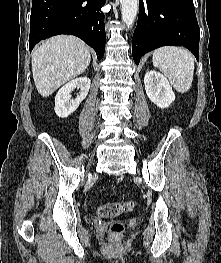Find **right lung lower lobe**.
Segmentation results:
<instances>
[{"label": "right lung lower lobe", "instance_id": "98d812e1", "mask_svg": "<svg viewBox=\"0 0 221 263\" xmlns=\"http://www.w3.org/2000/svg\"><path fill=\"white\" fill-rule=\"evenodd\" d=\"M106 0H32L30 51L42 39L58 34L75 35L91 46L98 60L105 52Z\"/></svg>", "mask_w": 221, "mask_h": 263}]
</instances>
